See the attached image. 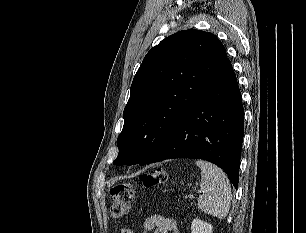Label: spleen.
I'll return each instance as SVG.
<instances>
[{
  "label": "spleen",
  "mask_w": 306,
  "mask_h": 233,
  "mask_svg": "<svg viewBox=\"0 0 306 233\" xmlns=\"http://www.w3.org/2000/svg\"><path fill=\"white\" fill-rule=\"evenodd\" d=\"M201 169L200 188L204 192L198 199V208L219 219L227 216L231 204V186L226 174L210 162L197 160Z\"/></svg>",
  "instance_id": "spleen-1"
}]
</instances>
